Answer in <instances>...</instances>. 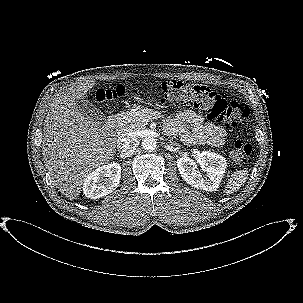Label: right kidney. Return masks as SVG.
<instances>
[{
    "label": "right kidney",
    "mask_w": 303,
    "mask_h": 303,
    "mask_svg": "<svg viewBox=\"0 0 303 303\" xmlns=\"http://www.w3.org/2000/svg\"><path fill=\"white\" fill-rule=\"evenodd\" d=\"M121 166L111 163L90 172L83 183V193L91 199H98L113 192L119 185Z\"/></svg>",
    "instance_id": "obj_1"
}]
</instances>
